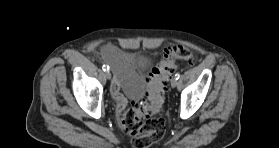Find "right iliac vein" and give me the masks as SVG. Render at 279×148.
Instances as JSON below:
<instances>
[{
  "mask_svg": "<svg viewBox=\"0 0 279 148\" xmlns=\"http://www.w3.org/2000/svg\"><path fill=\"white\" fill-rule=\"evenodd\" d=\"M105 76H106V78L109 79V80H110L111 77H112V75H111V73H110L109 71H106Z\"/></svg>",
  "mask_w": 279,
  "mask_h": 148,
  "instance_id": "right-iliac-vein-1",
  "label": "right iliac vein"
}]
</instances>
